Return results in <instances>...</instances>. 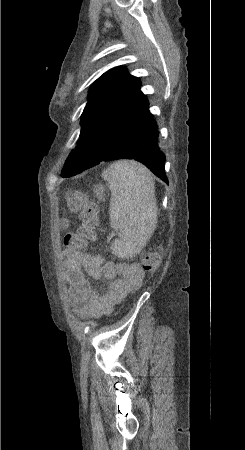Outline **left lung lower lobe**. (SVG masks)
Returning <instances> with one entry per match:
<instances>
[{"instance_id": "1", "label": "left lung lower lobe", "mask_w": 245, "mask_h": 450, "mask_svg": "<svg viewBox=\"0 0 245 450\" xmlns=\"http://www.w3.org/2000/svg\"><path fill=\"white\" fill-rule=\"evenodd\" d=\"M158 136L157 122L153 118V115L148 112L138 130L120 150H113L107 155H101L102 152H100L97 155L98 147H95V145H85L80 149V152L82 154L90 153V157L97 155L96 158L101 155L99 159H102V161L136 159L145 164L157 177L168 184L164 167L165 155L159 148Z\"/></svg>"}]
</instances>
